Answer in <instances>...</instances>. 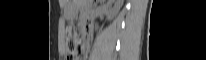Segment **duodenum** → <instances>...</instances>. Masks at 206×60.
<instances>
[{
	"instance_id": "obj_1",
	"label": "duodenum",
	"mask_w": 206,
	"mask_h": 60,
	"mask_svg": "<svg viewBox=\"0 0 206 60\" xmlns=\"http://www.w3.org/2000/svg\"><path fill=\"white\" fill-rule=\"evenodd\" d=\"M82 29H83V30H88V29H89V26H88V25H83V26H82Z\"/></svg>"
}]
</instances>
